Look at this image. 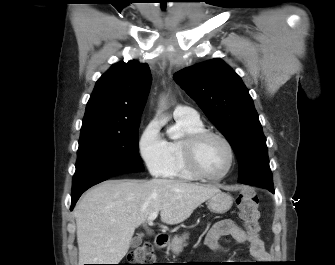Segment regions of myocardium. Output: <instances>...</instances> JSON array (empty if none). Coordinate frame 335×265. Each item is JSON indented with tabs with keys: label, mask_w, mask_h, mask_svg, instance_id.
I'll return each instance as SVG.
<instances>
[{
	"label": "myocardium",
	"mask_w": 335,
	"mask_h": 265,
	"mask_svg": "<svg viewBox=\"0 0 335 265\" xmlns=\"http://www.w3.org/2000/svg\"><path fill=\"white\" fill-rule=\"evenodd\" d=\"M209 138H217L225 144L229 152V162L226 169L217 176H210L203 172L198 163V152L201 145ZM183 152L185 164L188 170L198 179L217 182L224 179L232 170L235 164V150L232 143L221 133L202 130L191 135H188L183 141Z\"/></svg>",
	"instance_id": "myocardium-1"
}]
</instances>
